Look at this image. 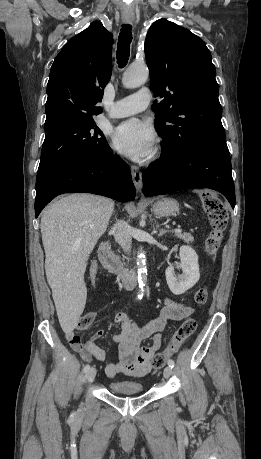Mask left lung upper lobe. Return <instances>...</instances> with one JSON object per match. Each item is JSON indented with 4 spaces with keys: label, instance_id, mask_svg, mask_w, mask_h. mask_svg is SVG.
<instances>
[{
    "label": "left lung upper lobe",
    "instance_id": "5c2ea615",
    "mask_svg": "<svg viewBox=\"0 0 261 459\" xmlns=\"http://www.w3.org/2000/svg\"><path fill=\"white\" fill-rule=\"evenodd\" d=\"M144 48L150 88L164 97L153 106L163 147L180 153L201 141L225 139L216 70L205 43L160 19L150 27Z\"/></svg>",
    "mask_w": 261,
    "mask_h": 459
}]
</instances>
